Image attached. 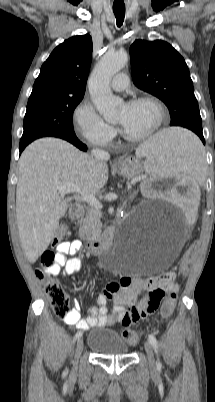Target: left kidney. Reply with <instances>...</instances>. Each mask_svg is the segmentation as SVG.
<instances>
[{"mask_svg":"<svg viewBox=\"0 0 215 402\" xmlns=\"http://www.w3.org/2000/svg\"><path fill=\"white\" fill-rule=\"evenodd\" d=\"M143 184L144 193H163V199L173 200L178 207H183V202H187L184 219L186 222L196 220L195 209L200 207V202L195 182H188L181 175H150Z\"/></svg>","mask_w":215,"mask_h":402,"instance_id":"left-kidney-1","label":"left kidney"}]
</instances>
